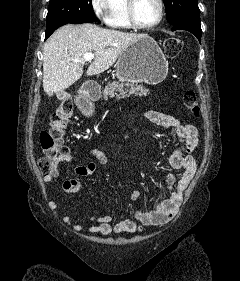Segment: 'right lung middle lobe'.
<instances>
[{"label": "right lung middle lobe", "instance_id": "obj_1", "mask_svg": "<svg viewBox=\"0 0 240 281\" xmlns=\"http://www.w3.org/2000/svg\"><path fill=\"white\" fill-rule=\"evenodd\" d=\"M97 21L91 0H50L46 17V37L67 23L80 24Z\"/></svg>", "mask_w": 240, "mask_h": 281}]
</instances>
